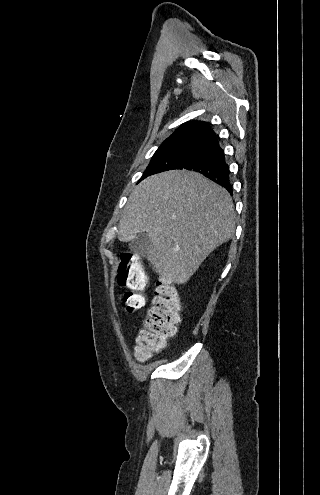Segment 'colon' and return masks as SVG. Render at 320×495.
<instances>
[{"label": "colon", "instance_id": "obj_1", "mask_svg": "<svg viewBox=\"0 0 320 495\" xmlns=\"http://www.w3.org/2000/svg\"><path fill=\"white\" fill-rule=\"evenodd\" d=\"M120 286L128 290L121 295L125 310L129 313L145 305L142 292L148 286V275L139 259L131 253H122L117 271ZM181 303L175 287L161 280L155 288L152 306L140 330L135 346V357L144 361L161 350L166 340L172 337L180 321Z\"/></svg>", "mask_w": 320, "mask_h": 495}]
</instances>
